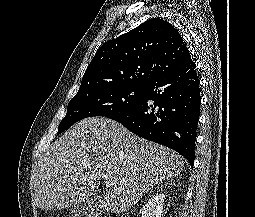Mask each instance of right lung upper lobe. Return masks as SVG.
<instances>
[{
    "mask_svg": "<svg viewBox=\"0 0 255 217\" xmlns=\"http://www.w3.org/2000/svg\"><path fill=\"white\" fill-rule=\"evenodd\" d=\"M190 60L178 30L162 18H152L103 44L87 67L79 91L148 86Z\"/></svg>",
    "mask_w": 255,
    "mask_h": 217,
    "instance_id": "right-lung-upper-lobe-1",
    "label": "right lung upper lobe"
}]
</instances>
